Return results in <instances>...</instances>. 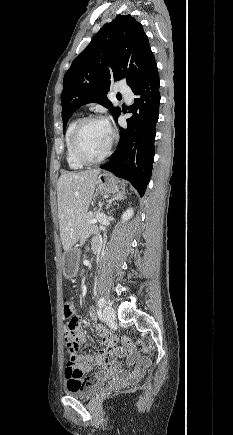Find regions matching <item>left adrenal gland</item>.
Listing matches in <instances>:
<instances>
[{
	"label": "left adrenal gland",
	"mask_w": 233,
	"mask_h": 435,
	"mask_svg": "<svg viewBox=\"0 0 233 435\" xmlns=\"http://www.w3.org/2000/svg\"><path fill=\"white\" fill-rule=\"evenodd\" d=\"M125 198H126L125 191L118 192L117 194L113 195L112 198L108 201L106 208L109 210L111 205H112V202L121 201V200H124Z\"/></svg>",
	"instance_id": "a2214340"
}]
</instances>
